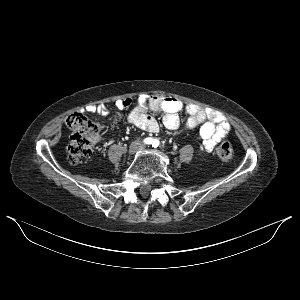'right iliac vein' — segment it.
Listing matches in <instances>:
<instances>
[{
  "mask_svg": "<svg viewBox=\"0 0 300 300\" xmlns=\"http://www.w3.org/2000/svg\"><path fill=\"white\" fill-rule=\"evenodd\" d=\"M138 146H139L138 143H133L129 148V154L133 155L137 151Z\"/></svg>",
  "mask_w": 300,
  "mask_h": 300,
  "instance_id": "63e3f726",
  "label": "right iliac vein"
}]
</instances>
